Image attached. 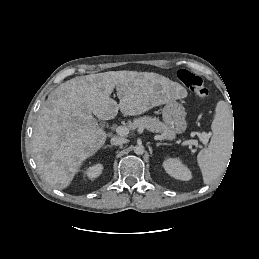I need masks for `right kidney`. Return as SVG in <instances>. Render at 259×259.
Wrapping results in <instances>:
<instances>
[{
  "label": "right kidney",
  "instance_id": "ca27d5eb",
  "mask_svg": "<svg viewBox=\"0 0 259 259\" xmlns=\"http://www.w3.org/2000/svg\"><path fill=\"white\" fill-rule=\"evenodd\" d=\"M102 170H103L102 164H95V165L89 167L86 170L85 174L87 175V177L89 179H94V178H97L102 173Z\"/></svg>",
  "mask_w": 259,
  "mask_h": 259
}]
</instances>
